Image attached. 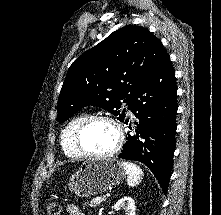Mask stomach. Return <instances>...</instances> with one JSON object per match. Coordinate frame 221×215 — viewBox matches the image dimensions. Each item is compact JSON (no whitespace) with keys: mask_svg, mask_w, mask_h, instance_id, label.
Returning <instances> with one entry per match:
<instances>
[{"mask_svg":"<svg viewBox=\"0 0 221 215\" xmlns=\"http://www.w3.org/2000/svg\"><path fill=\"white\" fill-rule=\"evenodd\" d=\"M126 176L121 162L116 159H92L85 161L69 180V188L79 197L106 192L120 184Z\"/></svg>","mask_w":221,"mask_h":215,"instance_id":"1","label":"stomach"}]
</instances>
